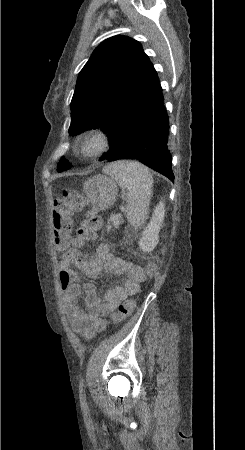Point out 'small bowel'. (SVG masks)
I'll return each instance as SVG.
<instances>
[{
    "label": "small bowel",
    "instance_id": "c3829d8e",
    "mask_svg": "<svg viewBox=\"0 0 245 450\" xmlns=\"http://www.w3.org/2000/svg\"><path fill=\"white\" fill-rule=\"evenodd\" d=\"M73 266H78L91 277H97L105 272L125 276L126 279L100 298L95 284L90 282L82 284ZM59 280L65 291L63 302L67 317L76 332L91 337L94 333L104 330L103 317L107 313L115 311L122 299L137 292L144 275L140 267L113 256L106 244H100L90 257L81 250H68L59 264ZM82 291L85 294L84 308L78 304Z\"/></svg>",
    "mask_w": 245,
    "mask_h": 450
}]
</instances>
